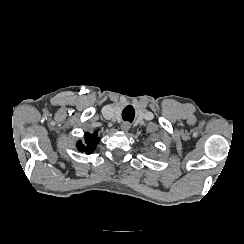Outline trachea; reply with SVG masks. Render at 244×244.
<instances>
[{"label":"trachea","mask_w":244,"mask_h":244,"mask_svg":"<svg viewBox=\"0 0 244 244\" xmlns=\"http://www.w3.org/2000/svg\"><path fill=\"white\" fill-rule=\"evenodd\" d=\"M135 117V110L131 105H128L124 108L122 111V119L124 121L133 122V119Z\"/></svg>","instance_id":"trachea-1"}]
</instances>
